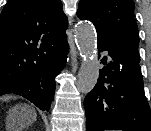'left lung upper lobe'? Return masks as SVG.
Listing matches in <instances>:
<instances>
[{
	"instance_id": "left-lung-upper-lobe-1",
	"label": "left lung upper lobe",
	"mask_w": 151,
	"mask_h": 131,
	"mask_svg": "<svg viewBox=\"0 0 151 131\" xmlns=\"http://www.w3.org/2000/svg\"><path fill=\"white\" fill-rule=\"evenodd\" d=\"M77 16L95 25L98 41L122 58L140 62L133 0H80Z\"/></svg>"
}]
</instances>
